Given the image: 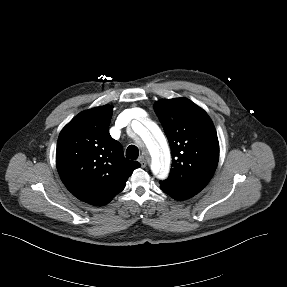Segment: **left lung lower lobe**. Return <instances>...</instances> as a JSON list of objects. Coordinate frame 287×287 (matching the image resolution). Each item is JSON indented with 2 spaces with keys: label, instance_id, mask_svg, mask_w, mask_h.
Wrapping results in <instances>:
<instances>
[{
  "label": "left lung lower lobe",
  "instance_id": "1",
  "mask_svg": "<svg viewBox=\"0 0 287 287\" xmlns=\"http://www.w3.org/2000/svg\"><path fill=\"white\" fill-rule=\"evenodd\" d=\"M165 193H167L168 195H170L172 198H174V199H176V200H183V199H181V198H178L177 196H175V195H173V194H171V193H169L168 191H166L165 189H163V188H161Z\"/></svg>",
  "mask_w": 287,
  "mask_h": 287
}]
</instances>
